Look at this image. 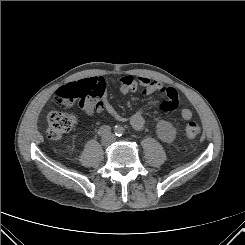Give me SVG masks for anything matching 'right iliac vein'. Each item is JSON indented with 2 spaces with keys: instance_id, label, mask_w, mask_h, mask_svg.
Returning a JSON list of instances; mask_svg holds the SVG:
<instances>
[{
  "instance_id": "right-iliac-vein-1",
  "label": "right iliac vein",
  "mask_w": 245,
  "mask_h": 245,
  "mask_svg": "<svg viewBox=\"0 0 245 245\" xmlns=\"http://www.w3.org/2000/svg\"><path fill=\"white\" fill-rule=\"evenodd\" d=\"M101 143H102V145L105 146V147L109 146V144L111 143L110 137H104V138L101 140Z\"/></svg>"
}]
</instances>
